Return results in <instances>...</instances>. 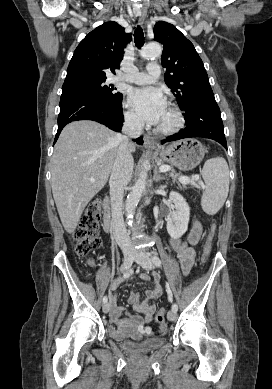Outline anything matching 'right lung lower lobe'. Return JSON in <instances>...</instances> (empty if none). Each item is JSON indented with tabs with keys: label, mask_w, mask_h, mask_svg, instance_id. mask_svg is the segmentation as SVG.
I'll use <instances>...</instances> for the list:
<instances>
[{
	"label": "right lung lower lobe",
	"mask_w": 272,
	"mask_h": 389,
	"mask_svg": "<svg viewBox=\"0 0 272 389\" xmlns=\"http://www.w3.org/2000/svg\"><path fill=\"white\" fill-rule=\"evenodd\" d=\"M77 120L97 121L110 129L120 132L123 125L122 102L108 103L97 97L86 94H63L60 98V113L58 116L57 141L63 127ZM138 144L143 138L134 139Z\"/></svg>",
	"instance_id": "1"
}]
</instances>
